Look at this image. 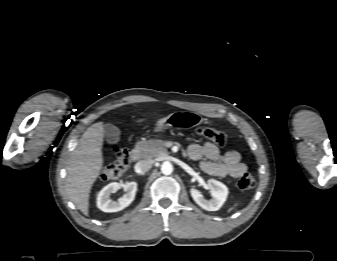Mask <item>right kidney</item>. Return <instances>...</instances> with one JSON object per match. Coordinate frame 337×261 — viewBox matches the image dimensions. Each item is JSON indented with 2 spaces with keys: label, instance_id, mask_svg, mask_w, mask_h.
<instances>
[{
  "label": "right kidney",
  "instance_id": "right-kidney-1",
  "mask_svg": "<svg viewBox=\"0 0 337 261\" xmlns=\"http://www.w3.org/2000/svg\"><path fill=\"white\" fill-rule=\"evenodd\" d=\"M120 188H123L126 193L122 198H119L117 201H113L110 198V195ZM136 191V182H129L126 184H120L117 182L110 183L99 192L97 196V207L104 212L121 211L131 204L135 198Z\"/></svg>",
  "mask_w": 337,
  "mask_h": 261
}]
</instances>
